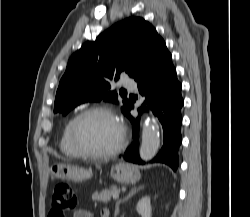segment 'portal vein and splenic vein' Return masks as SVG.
<instances>
[{
    "mask_svg": "<svg viewBox=\"0 0 250 217\" xmlns=\"http://www.w3.org/2000/svg\"><path fill=\"white\" fill-rule=\"evenodd\" d=\"M119 197V193L113 195V199H117Z\"/></svg>",
    "mask_w": 250,
    "mask_h": 217,
    "instance_id": "portal-vein-and-splenic-vein-1",
    "label": "portal vein and splenic vein"
}]
</instances>
